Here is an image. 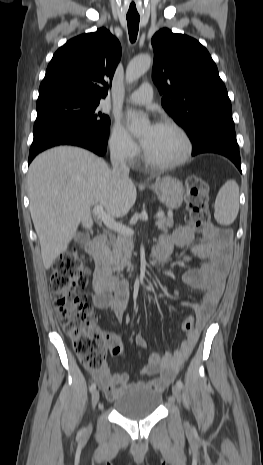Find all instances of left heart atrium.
Here are the masks:
<instances>
[{
  "instance_id": "39dd6f15",
  "label": "left heart atrium",
  "mask_w": 263,
  "mask_h": 465,
  "mask_svg": "<svg viewBox=\"0 0 263 465\" xmlns=\"http://www.w3.org/2000/svg\"><path fill=\"white\" fill-rule=\"evenodd\" d=\"M155 128H156V125L150 126L149 130H148V133L142 138V143H143L144 146L148 142L149 137H150V135L152 134V132L154 131Z\"/></svg>"
}]
</instances>
